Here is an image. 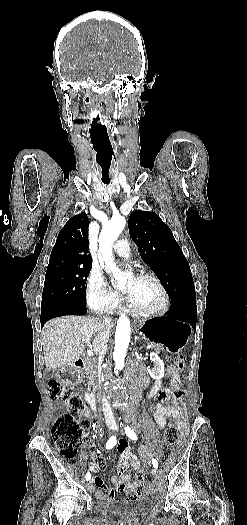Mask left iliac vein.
Wrapping results in <instances>:
<instances>
[{
    "instance_id": "1",
    "label": "left iliac vein",
    "mask_w": 247,
    "mask_h": 525,
    "mask_svg": "<svg viewBox=\"0 0 247 525\" xmlns=\"http://www.w3.org/2000/svg\"><path fill=\"white\" fill-rule=\"evenodd\" d=\"M117 431H119V430L117 429ZM151 473H152V475H153V476H155V475L157 474V471H156V469H155V468H153V469L151 470Z\"/></svg>"
}]
</instances>
